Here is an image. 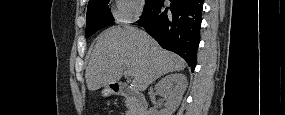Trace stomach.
Returning <instances> with one entry per match:
<instances>
[{"label": "stomach", "instance_id": "stomach-1", "mask_svg": "<svg viewBox=\"0 0 285 115\" xmlns=\"http://www.w3.org/2000/svg\"><path fill=\"white\" fill-rule=\"evenodd\" d=\"M101 93L104 97H108L113 94V90L110 88V86H105Z\"/></svg>", "mask_w": 285, "mask_h": 115}]
</instances>
